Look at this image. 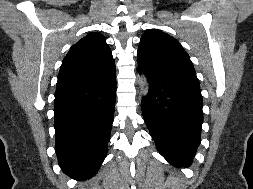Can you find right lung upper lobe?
<instances>
[{"label": "right lung upper lobe", "mask_w": 253, "mask_h": 189, "mask_svg": "<svg viewBox=\"0 0 253 189\" xmlns=\"http://www.w3.org/2000/svg\"><path fill=\"white\" fill-rule=\"evenodd\" d=\"M115 72V62L104 36L93 32L74 44L63 59L57 83H90Z\"/></svg>", "instance_id": "right-lung-upper-lobe-1"}]
</instances>
